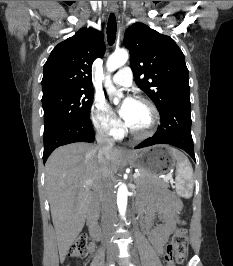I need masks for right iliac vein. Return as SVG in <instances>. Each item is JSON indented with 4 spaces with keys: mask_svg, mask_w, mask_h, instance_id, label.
<instances>
[{
    "mask_svg": "<svg viewBox=\"0 0 233 266\" xmlns=\"http://www.w3.org/2000/svg\"><path fill=\"white\" fill-rule=\"evenodd\" d=\"M114 258H115L114 251H109V253H108V261H109V263H112L114 261Z\"/></svg>",
    "mask_w": 233,
    "mask_h": 266,
    "instance_id": "obj_1",
    "label": "right iliac vein"
}]
</instances>
